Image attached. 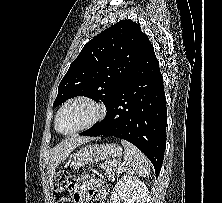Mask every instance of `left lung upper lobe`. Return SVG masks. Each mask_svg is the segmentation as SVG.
<instances>
[{
	"mask_svg": "<svg viewBox=\"0 0 222 203\" xmlns=\"http://www.w3.org/2000/svg\"><path fill=\"white\" fill-rule=\"evenodd\" d=\"M150 41L140 25L122 20L91 39L59 84L53 106L75 96L101 100L107 107L145 53Z\"/></svg>",
	"mask_w": 222,
	"mask_h": 203,
	"instance_id": "1",
	"label": "left lung upper lobe"
}]
</instances>
